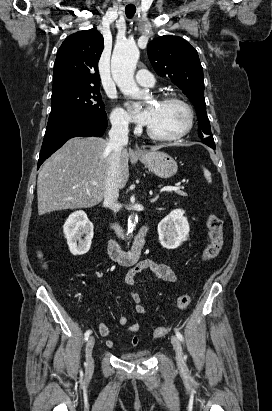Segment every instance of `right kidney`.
Listing matches in <instances>:
<instances>
[{
	"instance_id": "1",
	"label": "right kidney",
	"mask_w": 272,
	"mask_h": 411,
	"mask_svg": "<svg viewBox=\"0 0 272 411\" xmlns=\"http://www.w3.org/2000/svg\"><path fill=\"white\" fill-rule=\"evenodd\" d=\"M63 232L73 255H83L89 251L93 238V224L84 211L72 213L63 226Z\"/></svg>"
}]
</instances>
